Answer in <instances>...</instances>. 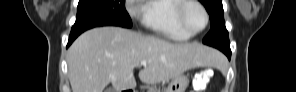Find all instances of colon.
<instances>
[{
	"mask_svg": "<svg viewBox=\"0 0 296 92\" xmlns=\"http://www.w3.org/2000/svg\"><path fill=\"white\" fill-rule=\"evenodd\" d=\"M209 78L207 71L197 72L192 79L193 92H205Z\"/></svg>",
	"mask_w": 296,
	"mask_h": 92,
	"instance_id": "1",
	"label": "colon"
}]
</instances>
